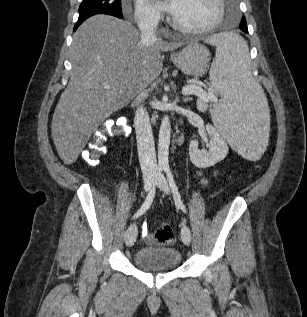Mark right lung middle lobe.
<instances>
[{
  "label": "right lung middle lobe",
  "mask_w": 307,
  "mask_h": 317,
  "mask_svg": "<svg viewBox=\"0 0 307 317\" xmlns=\"http://www.w3.org/2000/svg\"><path fill=\"white\" fill-rule=\"evenodd\" d=\"M96 14H107L122 18L121 0H83L79 7V18Z\"/></svg>",
  "instance_id": "dd1d6c3e"
}]
</instances>
